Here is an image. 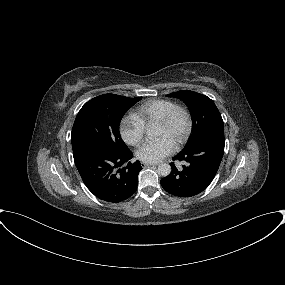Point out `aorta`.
I'll use <instances>...</instances> for the list:
<instances>
[{
  "mask_svg": "<svg viewBox=\"0 0 285 285\" xmlns=\"http://www.w3.org/2000/svg\"><path fill=\"white\" fill-rule=\"evenodd\" d=\"M147 134L150 135L151 131L147 130ZM157 172L159 175L166 177L171 173V166L167 163H162L158 166Z\"/></svg>",
  "mask_w": 285,
  "mask_h": 285,
  "instance_id": "aorta-1",
  "label": "aorta"
}]
</instances>
